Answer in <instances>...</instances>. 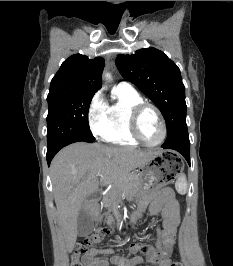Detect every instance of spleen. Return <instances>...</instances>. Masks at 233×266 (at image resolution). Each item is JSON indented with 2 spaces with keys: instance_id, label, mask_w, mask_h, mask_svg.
Segmentation results:
<instances>
[{
  "instance_id": "1",
  "label": "spleen",
  "mask_w": 233,
  "mask_h": 266,
  "mask_svg": "<svg viewBox=\"0 0 233 266\" xmlns=\"http://www.w3.org/2000/svg\"><path fill=\"white\" fill-rule=\"evenodd\" d=\"M176 189L178 191V193L180 194H185L187 191V180H186V176L184 174H182L176 181Z\"/></svg>"
}]
</instances>
